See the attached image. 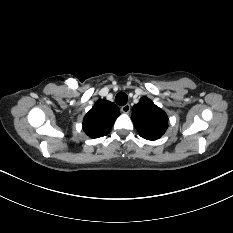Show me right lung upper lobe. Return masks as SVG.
Here are the masks:
<instances>
[{
    "mask_svg": "<svg viewBox=\"0 0 233 233\" xmlns=\"http://www.w3.org/2000/svg\"><path fill=\"white\" fill-rule=\"evenodd\" d=\"M120 115L119 108L113 102L99 99L83 119V130L90 138L107 135Z\"/></svg>",
    "mask_w": 233,
    "mask_h": 233,
    "instance_id": "cb5924a9",
    "label": "right lung upper lobe"
}]
</instances>
